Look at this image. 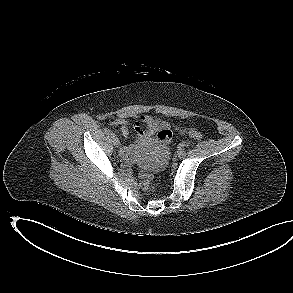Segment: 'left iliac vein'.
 <instances>
[{
	"label": "left iliac vein",
	"mask_w": 293,
	"mask_h": 293,
	"mask_svg": "<svg viewBox=\"0 0 293 293\" xmlns=\"http://www.w3.org/2000/svg\"><path fill=\"white\" fill-rule=\"evenodd\" d=\"M186 156V152L185 151H180L179 153H178V157L179 158H184Z\"/></svg>",
	"instance_id": "left-iliac-vein-1"
}]
</instances>
